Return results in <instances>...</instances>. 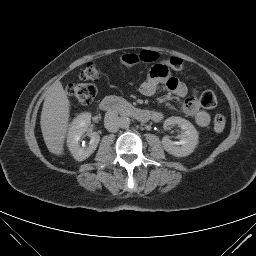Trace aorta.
I'll return each instance as SVG.
<instances>
[{"instance_id": "aorta-1", "label": "aorta", "mask_w": 256, "mask_h": 256, "mask_svg": "<svg viewBox=\"0 0 256 256\" xmlns=\"http://www.w3.org/2000/svg\"><path fill=\"white\" fill-rule=\"evenodd\" d=\"M131 120L128 117H121L120 118V127L126 129L130 126Z\"/></svg>"}]
</instances>
